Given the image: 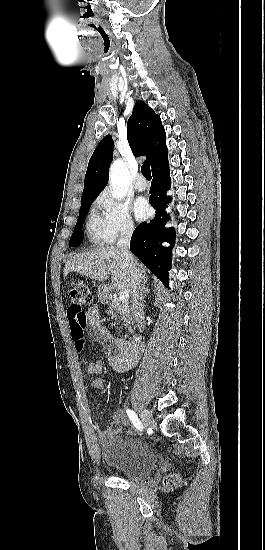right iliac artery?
<instances>
[{"label": "right iliac artery", "instance_id": "82829eb1", "mask_svg": "<svg viewBox=\"0 0 265 550\" xmlns=\"http://www.w3.org/2000/svg\"><path fill=\"white\" fill-rule=\"evenodd\" d=\"M126 413L129 417V419L132 421L133 425L140 431L143 430V425L141 423V421L138 419L136 413L130 409H127L126 410Z\"/></svg>", "mask_w": 265, "mask_h": 550}]
</instances>
